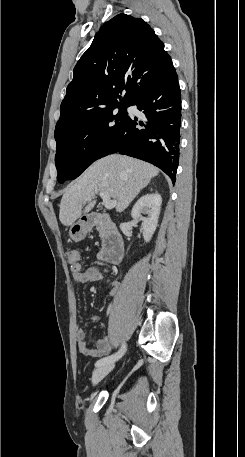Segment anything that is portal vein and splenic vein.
I'll use <instances>...</instances> for the list:
<instances>
[{
  "label": "portal vein and splenic vein",
  "instance_id": "obj_1",
  "mask_svg": "<svg viewBox=\"0 0 245 457\" xmlns=\"http://www.w3.org/2000/svg\"><path fill=\"white\" fill-rule=\"evenodd\" d=\"M101 198H103V202L105 204V208H114L117 204V200H111L109 194L107 192H99ZM86 200H91V198H86Z\"/></svg>",
  "mask_w": 245,
  "mask_h": 457
}]
</instances>
